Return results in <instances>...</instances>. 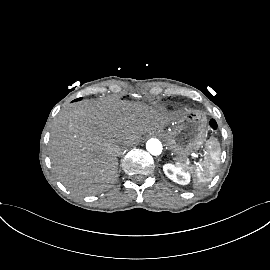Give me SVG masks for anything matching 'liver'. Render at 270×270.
I'll list each match as a JSON object with an SVG mask.
<instances>
[{"instance_id":"6515ba94","label":"liver","mask_w":270,"mask_h":270,"mask_svg":"<svg viewBox=\"0 0 270 270\" xmlns=\"http://www.w3.org/2000/svg\"><path fill=\"white\" fill-rule=\"evenodd\" d=\"M164 125L157 110L140 103L101 99L73 105L53 122L54 171L70 188L100 190L116 180L119 147Z\"/></svg>"}]
</instances>
